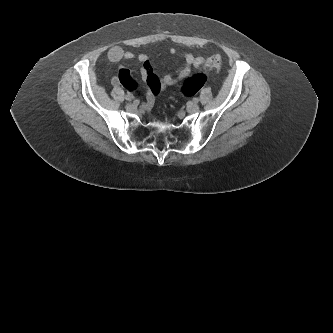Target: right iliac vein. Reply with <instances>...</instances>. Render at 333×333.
Segmentation results:
<instances>
[{"mask_svg": "<svg viewBox=\"0 0 333 333\" xmlns=\"http://www.w3.org/2000/svg\"><path fill=\"white\" fill-rule=\"evenodd\" d=\"M126 109L129 111V112H134L136 110V105L133 104V103H128L126 105Z\"/></svg>", "mask_w": 333, "mask_h": 333, "instance_id": "63e3f726", "label": "right iliac vein"}]
</instances>
